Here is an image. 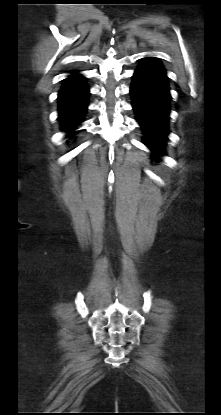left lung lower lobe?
Returning a JSON list of instances; mask_svg holds the SVG:
<instances>
[{
    "label": "left lung lower lobe",
    "mask_w": 221,
    "mask_h": 415,
    "mask_svg": "<svg viewBox=\"0 0 221 415\" xmlns=\"http://www.w3.org/2000/svg\"><path fill=\"white\" fill-rule=\"evenodd\" d=\"M130 95L136 120L144 135L143 143L156 158L164 155L170 132L171 95L166 71L157 58L140 60L132 76Z\"/></svg>",
    "instance_id": "obj_1"
}]
</instances>
